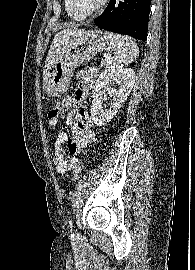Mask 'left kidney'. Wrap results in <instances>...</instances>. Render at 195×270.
I'll return each mask as SVG.
<instances>
[{
    "label": "left kidney",
    "mask_w": 195,
    "mask_h": 270,
    "mask_svg": "<svg viewBox=\"0 0 195 270\" xmlns=\"http://www.w3.org/2000/svg\"><path fill=\"white\" fill-rule=\"evenodd\" d=\"M117 82L120 87L114 90L111 83ZM135 83V72L131 68H108L103 71L94 85L91 117L97 126H103L116 115L126 101ZM108 93L113 102L109 109H103L102 102Z\"/></svg>",
    "instance_id": "left-kidney-1"
}]
</instances>
